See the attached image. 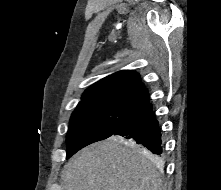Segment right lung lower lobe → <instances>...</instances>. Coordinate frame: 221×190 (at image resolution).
I'll return each mask as SVG.
<instances>
[{"instance_id":"right-lung-lower-lobe-1","label":"right lung lower lobe","mask_w":221,"mask_h":190,"mask_svg":"<svg viewBox=\"0 0 221 190\" xmlns=\"http://www.w3.org/2000/svg\"><path fill=\"white\" fill-rule=\"evenodd\" d=\"M113 135L131 139L153 154H163L161 128L150 102L137 109Z\"/></svg>"}]
</instances>
